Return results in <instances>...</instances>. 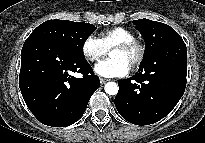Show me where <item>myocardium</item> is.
Instances as JSON below:
<instances>
[{
  "label": "myocardium",
  "mask_w": 205,
  "mask_h": 143,
  "mask_svg": "<svg viewBox=\"0 0 205 143\" xmlns=\"http://www.w3.org/2000/svg\"><path fill=\"white\" fill-rule=\"evenodd\" d=\"M114 49L123 50V51L135 50L136 57L130 65L131 69L138 68L142 64L145 58V51H146L145 45L142 41L135 38L129 41H124L119 44H116L112 48V50Z\"/></svg>",
  "instance_id": "myocardium-1"
}]
</instances>
